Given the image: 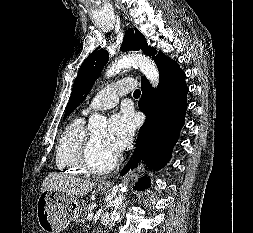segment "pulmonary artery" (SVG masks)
I'll return each instance as SVG.
<instances>
[{"label":"pulmonary artery","mask_w":253,"mask_h":233,"mask_svg":"<svg viewBox=\"0 0 253 233\" xmlns=\"http://www.w3.org/2000/svg\"><path fill=\"white\" fill-rule=\"evenodd\" d=\"M135 84L133 78L125 77L105 87L92 98L83 109V113L88 114L92 110H106L114 107L119 102L120 97L130 92L135 87Z\"/></svg>","instance_id":"obj_1"}]
</instances>
